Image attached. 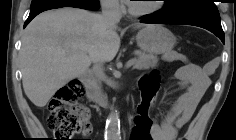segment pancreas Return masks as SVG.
<instances>
[{
  "label": "pancreas",
  "instance_id": "obj_1",
  "mask_svg": "<svg viewBox=\"0 0 236 140\" xmlns=\"http://www.w3.org/2000/svg\"><path fill=\"white\" fill-rule=\"evenodd\" d=\"M134 54L137 56L134 59L135 63L133 64L136 69H148L150 67H155L158 63V58L152 54H147L136 50Z\"/></svg>",
  "mask_w": 236,
  "mask_h": 140
}]
</instances>
